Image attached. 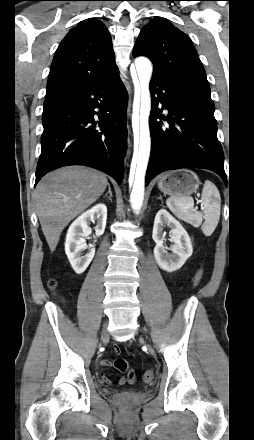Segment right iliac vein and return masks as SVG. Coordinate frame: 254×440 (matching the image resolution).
<instances>
[{
	"instance_id": "1",
	"label": "right iliac vein",
	"mask_w": 254,
	"mask_h": 440,
	"mask_svg": "<svg viewBox=\"0 0 254 440\" xmlns=\"http://www.w3.org/2000/svg\"><path fill=\"white\" fill-rule=\"evenodd\" d=\"M108 339H109V337H108L107 330H106V328H104L102 331L101 340H102V342H107Z\"/></svg>"
}]
</instances>
